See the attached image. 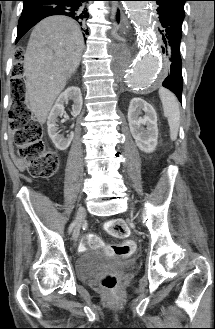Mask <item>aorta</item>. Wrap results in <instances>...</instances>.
Wrapping results in <instances>:
<instances>
[{"label":"aorta","instance_id":"aorta-1","mask_svg":"<svg viewBox=\"0 0 215 329\" xmlns=\"http://www.w3.org/2000/svg\"><path fill=\"white\" fill-rule=\"evenodd\" d=\"M124 7L130 18L136 24L142 38L145 39V48L132 61L124 63V69H129L126 80L132 90L145 91L157 82L162 76L161 59L151 47L152 44V17L148 5L144 1H125Z\"/></svg>","mask_w":215,"mask_h":329}]
</instances>
